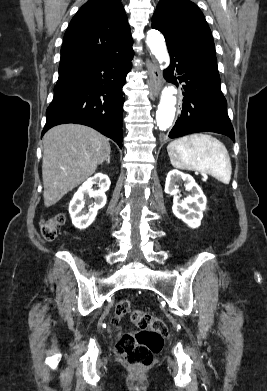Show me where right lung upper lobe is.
Segmentation results:
<instances>
[{
  "instance_id": "right-lung-upper-lobe-1",
  "label": "right lung upper lobe",
  "mask_w": 267,
  "mask_h": 391,
  "mask_svg": "<svg viewBox=\"0 0 267 391\" xmlns=\"http://www.w3.org/2000/svg\"><path fill=\"white\" fill-rule=\"evenodd\" d=\"M120 0H89L71 20L61 48L59 75L132 48Z\"/></svg>"
}]
</instances>
